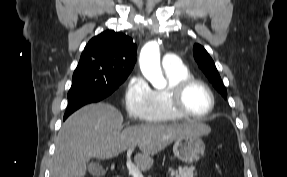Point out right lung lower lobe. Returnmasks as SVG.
Segmentation results:
<instances>
[{"mask_svg":"<svg viewBox=\"0 0 287 177\" xmlns=\"http://www.w3.org/2000/svg\"><path fill=\"white\" fill-rule=\"evenodd\" d=\"M105 97L106 96L104 94L97 92H82L69 96L68 107L64 115V120L80 107L89 103L101 101Z\"/></svg>","mask_w":287,"mask_h":177,"instance_id":"1","label":"right lung lower lobe"}]
</instances>
